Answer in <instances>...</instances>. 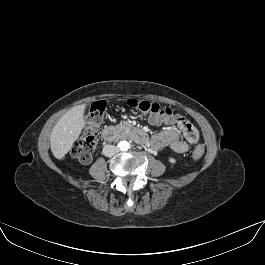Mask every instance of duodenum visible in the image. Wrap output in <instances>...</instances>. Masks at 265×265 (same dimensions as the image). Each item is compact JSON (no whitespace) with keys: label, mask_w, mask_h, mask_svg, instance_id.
Wrapping results in <instances>:
<instances>
[{"label":"duodenum","mask_w":265,"mask_h":265,"mask_svg":"<svg viewBox=\"0 0 265 265\" xmlns=\"http://www.w3.org/2000/svg\"><path fill=\"white\" fill-rule=\"evenodd\" d=\"M129 137L138 143L147 144L148 137L145 131L139 127H134L130 130H125L123 127L107 126L102 131V138L105 142H110L116 139Z\"/></svg>","instance_id":"duodenum-1"}]
</instances>
